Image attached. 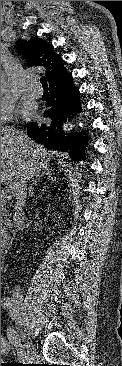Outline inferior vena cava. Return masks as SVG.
<instances>
[{"label":"inferior vena cava","mask_w":122,"mask_h":366,"mask_svg":"<svg viewBox=\"0 0 122 366\" xmlns=\"http://www.w3.org/2000/svg\"><path fill=\"white\" fill-rule=\"evenodd\" d=\"M27 182L28 178L26 176L21 177L20 181L16 185L15 189V205H14V214H13V220L17 227H20L23 225L24 220V214H23V208L26 204V198H27ZM20 288L17 286L15 289V292L13 295L17 298H21V292Z\"/></svg>","instance_id":"602c4592"}]
</instances>
